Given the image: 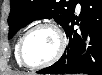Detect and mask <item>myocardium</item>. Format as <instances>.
<instances>
[{
	"label": "myocardium",
	"instance_id": "1",
	"mask_svg": "<svg viewBox=\"0 0 102 75\" xmlns=\"http://www.w3.org/2000/svg\"><path fill=\"white\" fill-rule=\"evenodd\" d=\"M39 28H49L52 29L56 35L58 36L59 39V47L58 50L56 52V54L49 59L48 61L38 64V65H32L31 63L27 62V60L25 59L24 56V45L25 42L27 40V38L37 29ZM66 44H67V40H66V36L64 34V32L62 31V29L55 24L54 22L51 21H42V22H38L36 24H34L33 26H31L21 37L20 42H19V48H18V54H19V58L21 60V62L29 67L32 68H40V67H45V66H49L53 63H55L57 60L60 59V57L63 55L65 48H66Z\"/></svg>",
	"mask_w": 102,
	"mask_h": 75
}]
</instances>
